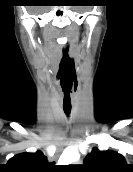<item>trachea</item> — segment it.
Returning a JSON list of instances; mask_svg holds the SVG:
<instances>
[{"mask_svg":"<svg viewBox=\"0 0 133 172\" xmlns=\"http://www.w3.org/2000/svg\"><path fill=\"white\" fill-rule=\"evenodd\" d=\"M71 111V107H64V112L66 115H69Z\"/></svg>","mask_w":133,"mask_h":172,"instance_id":"3493384b","label":"trachea"}]
</instances>
